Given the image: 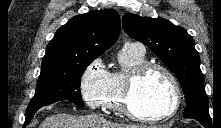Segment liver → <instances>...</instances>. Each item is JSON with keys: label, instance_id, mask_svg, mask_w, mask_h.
<instances>
[{"label": "liver", "instance_id": "liver-1", "mask_svg": "<svg viewBox=\"0 0 221 128\" xmlns=\"http://www.w3.org/2000/svg\"><path fill=\"white\" fill-rule=\"evenodd\" d=\"M39 128H162L161 126H146L137 124H118L107 121L104 117L96 114L85 116L58 113L47 117Z\"/></svg>", "mask_w": 221, "mask_h": 128}]
</instances>
